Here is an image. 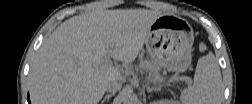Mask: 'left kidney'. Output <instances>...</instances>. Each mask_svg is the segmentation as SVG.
<instances>
[{"label":"left kidney","instance_id":"left-kidney-1","mask_svg":"<svg viewBox=\"0 0 252 104\" xmlns=\"http://www.w3.org/2000/svg\"><path fill=\"white\" fill-rule=\"evenodd\" d=\"M163 102H165V103H169L170 101L165 100V101H163Z\"/></svg>","mask_w":252,"mask_h":104}]
</instances>
